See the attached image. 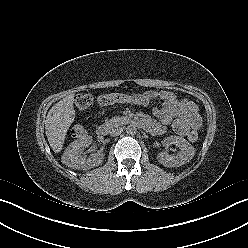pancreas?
Listing matches in <instances>:
<instances>
[{
    "mask_svg": "<svg viewBox=\"0 0 248 248\" xmlns=\"http://www.w3.org/2000/svg\"><path fill=\"white\" fill-rule=\"evenodd\" d=\"M127 122H129V118L126 117V116H116L112 119H109L105 122V125L109 128H112L114 126H117V125H122V124H126Z\"/></svg>",
    "mask_w": 248,
    "mask_h": 248,
    "instance_id": "cf45deb5",
    "label": "pancreas"
}]
</instances>
